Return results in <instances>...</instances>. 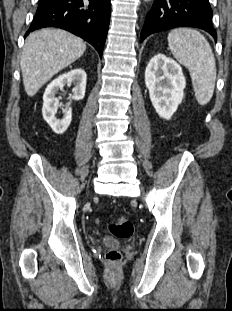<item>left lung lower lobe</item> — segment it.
I'll use <instances>...</instances> for the list:
<instances>
[{
	"label": "left lung lower lobe",
	"mask_w": 232,
	"mask_h": 311,
	"mask_svg": "<svg viewBox=\"0 0 232 311\" xmlns=\"http://www.w3.org/2000/svg\"><path fill=\"white\" fill-rule=\"evenodd\" d=\"M212 10L208 0H154L146 16L140 42L150 34L176 28L196 27L217 39L212 25Z\"/></svg>",
	"instance_id": "left-lung-lower-lobe-1"
}]
</instances>
